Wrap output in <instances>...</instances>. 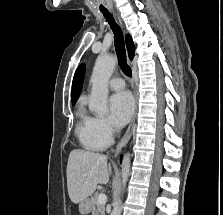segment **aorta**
Listing matches in <instances>:
<instances>
[{"mask_svg": "<svg viewBox=\"0 0 223 215\" xmlns=\"http://www.w3.org/2000/svg\"><path fill=\"white\" fill-rule=\"evenodd\" d=\"M117 58L114 56H99L93 68L90 84L92 86L89 109L97 115H107L108 82L115 70ZM130 175V153H125L122 161V189ZM121 199H117L110 215H120Z\"/></svg>", "mask_w": 223, "mask_h": 215, "instance_id": "1", "label": "aorta"}]
</instances>
